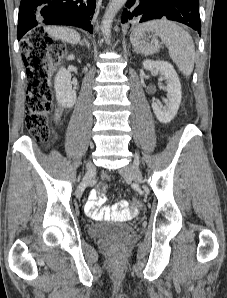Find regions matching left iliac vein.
Instances as JSON below:
<instances>
[{"mask_svg":"<svg viewBox=\"0 0 227 298\" xmlns=\"http://www.w3.org/2000/svg\"><path fill=\"white\" fill-rule=\"evenodd\" d=\"M120 173L124 176H130L135 181L141 183L142 182V175L137 166V164L128 165L120 170Z\"/></svg>","mask_w":227,"mask_h":298,"instance_id":"left-iliac-vein-1","label":"left iliac vein"}]
</instances>
